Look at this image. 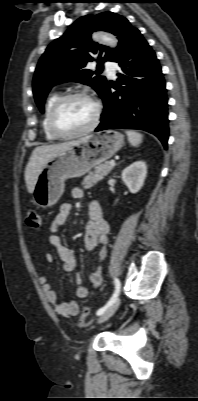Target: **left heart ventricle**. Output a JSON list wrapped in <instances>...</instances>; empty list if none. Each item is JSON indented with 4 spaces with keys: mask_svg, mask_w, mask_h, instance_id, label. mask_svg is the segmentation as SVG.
<instances>
[{
    "mask_svg": "<svg viewBox=\"0 0 198 401\" xmlns=\"http://www.w3.org/2000/svg\"><path fill=\"white\" fill-rule=\"evenodd\" d=\"M95 108L92 102L77 98L64 103L58 110L55 123L64 133H73L87 128L93 121Z\"/></svg>",
    "mask_w": 198,
    "mask_h": 401,
    "instance_id": "1",
    "label": "left heart ventricle"
}]
</instances>
